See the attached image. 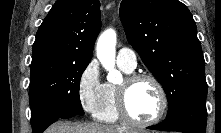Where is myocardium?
I'll return each mask as SVG.
<instances>
[{"instance_id": "myocardium-1", "label": "myocardium", "mask_w": 221, "mask_h": 133, "mask_svg": "<svg viewBox=\"0 0 221 133\" xmlns=\"http://www.w3.org/2000/svg\"><path fill=\"white\" fill-rule=\"evenodd\" d=\"M148 80L152 82L160 96V108L155 117L147 121L135 119L128 108V93L131 87L139 81ZM117 108L122 120L138 127H149L157 124L165 115L168 108V99L165 88L158 78L151 74L134 73L128 75L117 87Z\"/></svg>"}]
</instances>
